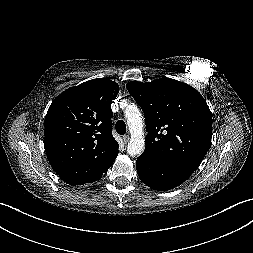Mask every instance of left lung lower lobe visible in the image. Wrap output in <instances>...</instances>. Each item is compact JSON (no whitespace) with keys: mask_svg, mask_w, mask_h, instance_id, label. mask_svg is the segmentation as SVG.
Segmentation results:
<instances>
[{"mask_svg":"<svg viewBox=\"0 0 253 253\" xmlns=\"http://www.w3.org/2000/svg\"><path fill=\"white\" fill-rule=\"evenodd\" d=\"M136 167L142 182L154 190L166 191L175 188L186 181L194 169L189 167H165L148 155L142 154L137 158Z\"/></svg>","mask_w":253,"mask_h":253,"instance_id":"left-lung-lower-lobe-1","label":"left lung lower lobe"}]
</instances>
